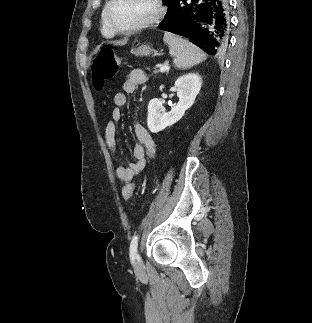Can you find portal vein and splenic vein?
<instances>
[{
  "label": "portal vein and splenic vein",
  "instance_id": "obj_1",
  "mask_svg": "<svg viewBox=\"0 0 312 323\" xmlns=\"http://www.w3.org/2000/svg\"><path fill=\"white\" fill-rule=\"evenodd\" d=\"M167 70H169L168 62H166L165 66H162V68H160L159 72H167Z\"/></svg>",
  "mask_w": 312,
  "mask_h": 323
}]
</instances>
